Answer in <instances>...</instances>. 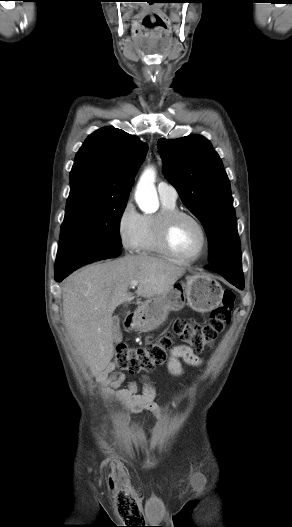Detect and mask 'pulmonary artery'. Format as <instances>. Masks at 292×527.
<instances>
[{
  "label": "pulmonary artery",
  "mask_w": 292,
  "mask_h": 527,
  "mask_svg": "<svg viewBox=\"0 0 292 527\" xmlns=\"http://www.w3.org/2000/svg\"><path fill=\"white\" fill-rule=\"evenodd\" d=\"M157 190H158L160 197L173 200V201L177 200L178 192L173 185L162 181L158 183Z\"/></svg>",
  "instance_id": "pulmonary-artery-1"
}]
</instances>
